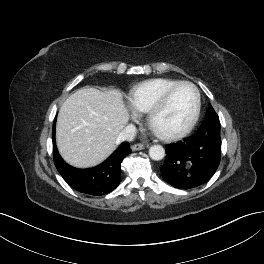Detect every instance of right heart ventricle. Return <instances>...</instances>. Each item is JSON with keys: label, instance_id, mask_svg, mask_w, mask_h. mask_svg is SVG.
I'll list each match as a JSON object with an SVG mask.
<instances>
[{"label": "right heart ventricle", "instance_id": "e07e8e85", "mask_svg": "<svg viewBox=\"0 0 264 264\" xmlns=\"http://www.w3.org/2000/svg\"><path fill=\"white\" fill-rule=\"evenodd\" d=\"M173 78H152L136 84L128 94V104L136 113H146L166 88L176 83Z\"/></svg>", "mask_w": 264, "mask_h": 264}]
</instances>
